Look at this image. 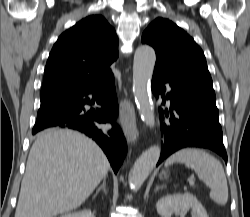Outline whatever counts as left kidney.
I'll return each instance as SVG.
<instances>
[{
  "mask_svg": "<svg viewBox=\"0 0 250 217\" xmlns=\"http://www.w3.org/2000/svg\"><path fill=\"white\" fill-rule=\"evenodd\" d=\"M156 209L161 217L179 215L188 209L192 210V217H209L203 205L190 193L164 196L156 203Z\"/></svg>",
  "mask_w": 250,
  "mask_h": 217,
  "instance_id": "5707ae66",
  "label": "left kidney"
}]
</instances>
